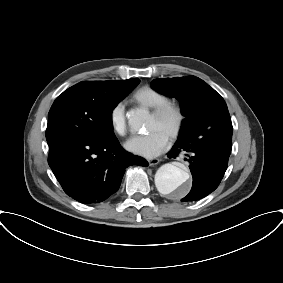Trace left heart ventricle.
<instances>
[{
    "label": "left heart ventricle",
    "instance_id": "obj_1",
    "mask_svg": "<svg viewBox=\"0 0 283 283\" xmlns=\"http://www.w3.org/2000/svg\"><path fill=\"white\" fill-rule=\"evenodd\" d=\"M174 122H175V117L173 114H168L161 118H157L150 115L146 129L148 131L152 129H158L168 136L174 126Z\"/></svg>",
    "mask_w": 283,
    "mask_h": 283
}]
</instances>
